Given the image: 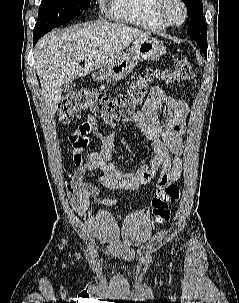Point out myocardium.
I'll return each mask as SVG.
<instances>
[{"mask_svg": "<svg viewBox=\"0 0 239 303\" xmlns=\"http://www.w3.org/2000/svg\"><path fill=\"white\" fill-rule=\"evenodd\" d=\"M176 2L180 5L182 9V20L180 22H173L166 13V7L170 2ZM154 12L156 17L167 27H179L183 25L188 17V10L185 2L183 0H157L154 7Z\"/></svg>", "mask_w": 239, "mask_h": 303, "instance_id": "f54148a6", "label": "myocardium"}]
</instances>
